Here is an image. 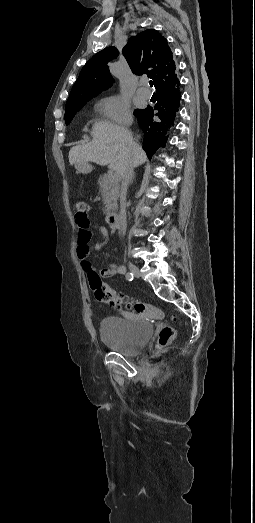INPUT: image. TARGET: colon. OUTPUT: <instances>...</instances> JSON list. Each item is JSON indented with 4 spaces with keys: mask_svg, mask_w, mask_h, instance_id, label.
Here are the masks:
<instances>
[{
    "mask_svg": "<svg viewBox=\"0 0 255 523\" xmlns=\"http://www.w3.org/2000/svg\"><path fill=\"white\" fill-rule=\"evenodd\" d=\"M88 211L89 204L85 201H78L76 203V223L78 226H87L88 221ZM88 279L90 287L94 293L95 298L103 303L114 307H123L128 310H132L140 315H149L154 318L161 319L164 317V312L153 305L141 302V301H130L123 297L121 294L115 290L109 288L105 285L98 273L91 272L88 273ZM176 338V330L170 326L163 327L158 335L156 349L160 350L170 343H172Z\"/></svg>",
    "mask_w": 255,
    "mask_h": 523,
    "instance_id": "colon-1",
    "label": "colon"
}]
</instances>
